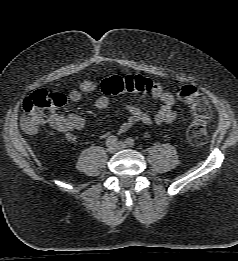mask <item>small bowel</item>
Returning a JSON list of instances; mask_svg holds the SVG:
<instances>
[{"mask_svg":"<svg viewBox=\"0 0 238 261\" xmlns=\"http://www.w3.org/2000/svg\"><path fill=\"white\" fill-rule=\"evenodd\" d=\"M100 85L93 80H83L79 83L77 89H73L66 96L70 101H79L85 95L93 94L100 90ZM152 98L161 103V107L154 114H150L142 110L137 105L128 104L126 110L128 116L120 124L118 132L124 133L137 123H142L147 126L161 125L171 123L177 118V112L174 110L176 102L175 94L159 83H152L149 90ZM110 105V99L107 95L101 94L94 100V106L98 109H105ZM48 123L57 131L63 133L68 142H75L76 138L73 131H81L85 128V120L76 114L62 115L57 111H52L47 119Z\"/></svg>","mask_w":238,"mask_h":261,"instance_id":"1","label":"small bowel"}]
</instances>
